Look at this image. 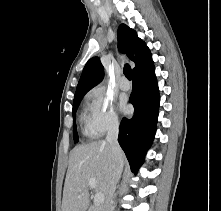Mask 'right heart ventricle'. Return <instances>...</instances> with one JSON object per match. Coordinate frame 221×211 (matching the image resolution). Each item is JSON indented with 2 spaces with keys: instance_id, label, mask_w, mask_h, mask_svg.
<instances>
[{
  "instance_id": "right-heart-ventricle-1",
  "label": "right heart ventricle",
  "mask_w": 221,
  "mask_h": 211,
  "mask_svg": "<svg viewBox=\"0 0 221 211\" xmlns=\"http://www.w3.org/2000/svg\"><path fill=\"white\" fill-rule=\"evenodd\" d=\"M81 119H82V122L84 124V132H85V134L89 135V136H94L95 134L89 128L88 117H87V115L85 113L82 114Z\"/></svg>"
}]
</instances>
